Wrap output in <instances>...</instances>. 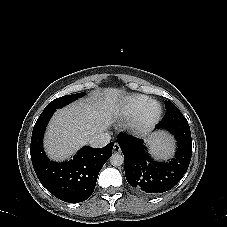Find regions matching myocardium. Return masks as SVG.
<instances>
[{"instance_id":"myocardium-1","label":"myocardium","mask_w":227,"mask_h":227,"mask_svg":"<svg viewBox=\"0 0 227 227\" xmlns=\"http://www.w3.org/2000/svg\"><path fill=\"white\" fill-rule=\"evenodd\" d=\"M152 106L156 107L155 111H151ZM161 115V105L156 101H149L134 119L131 130L136 134L146 133L159 122Z\"/></svg>"}]
</instances>
